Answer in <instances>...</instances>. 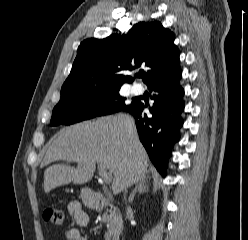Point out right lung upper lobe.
Instances as JSON below:
<instances>
[{
    "instance_id": "obj_1",
    "label": "right lung upper lobe",
    "mask_w": 248,
    "mask_h": 240,
    "mask_svg": "<svg viewBox=\"0 0 248 240\" xmlns=\"http://www.w3.org/2000/svg\"><path fill=\"white\" fill-rule=\"evenodd\" d=\"M174 33L159 21L139 22L126 35L113 34L105 39L81 42L70 75L61 90H115L134 78L124 75L144 65L150 68L144 80L148 86L180 69L179 50Z\"/></svg>"
}]
</instances>
